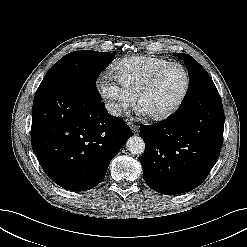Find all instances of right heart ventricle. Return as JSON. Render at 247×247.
Returning a JSON list of instances; mask_svg holds the SVG:
<instances>
[{
	"label": "right heart ventricle",
	"instance_id": "obj_1",
	"mask_svg": "<svg viewBox=\"0 0 247 247\" xmlns=\"http://www.w3.org/2000/svg\"><path fill=\"white\" fill-rule=\"evenodd\" d=\"M171 63L152 56H132L117 62L110 70L122 89L134 97L139 86L156 69Z\"/></svg>",
	"mask_w": 247,
	"mask_h": 247
}]
</instances>
